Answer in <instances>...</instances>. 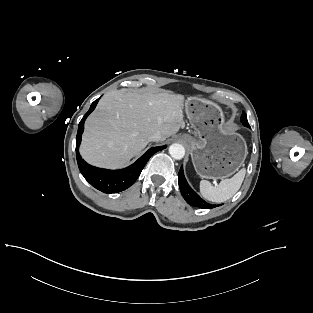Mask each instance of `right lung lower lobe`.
I'll list each match as a JSON object with an SVG mask.
<instances>
[{"mask_svg":"<svg viewBox=\"0 0 313 313\" xmlns=\"http://www.w3.org/2000/svg\"><path fill=\"white\" fill-rule=\"evenodd\" d=\"M98 101L99 99L91 104L90 109L79 123L76 136L77 163L81 174L93 187L104 193H118L130 187L139 177L149 158L159 150L166 148V145L150 148L135 163L121 170H106L87 164L79 154V145L84 131V122L88 115L95 109Z\"/></svg>","mask_w":313,"mask_h":313,"instance_id":"98d812e1","label":"right lung lower lobe"}]
</instances>
